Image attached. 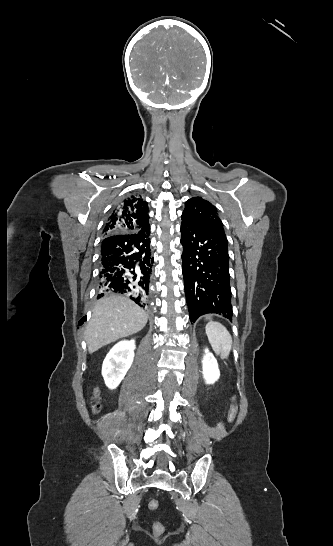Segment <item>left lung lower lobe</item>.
<instances>
[{"label": "left lung lower lobe", "mask_w": 333, "mask_h": 546, "mask_svg": "<svg viewBox=\"0 0 333 546\" xmlns=\"http://www.w3.org/2000/svg\"><path fill=\"white\" fill-rule=\"evenodd\" d=\"M183 277L190 321L218 314L232 321L228 240L221 226L182 216Z\"/></svg>", "instance_id": "0a47b994"}]
</instances>
